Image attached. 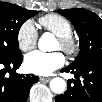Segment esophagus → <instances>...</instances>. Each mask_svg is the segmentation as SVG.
I'll use <instances>...</instances> for the list:
<instances>
[{
	"mask_svg": "<svg viewBox=\"0 0 102 102\" xmlns=\"http://www.w3.org/2000/svg\"><path fill=\"white\" fill-rule=\"evenodd\" d=\"M50 80H51V77H40V81L45 83L49 82Z\"/></svg>",
	"mask_w": 102,
	"mask_h": 102,
	"instance_id": "34e87169",
	"label": "esophagus"
}]
</instances>
